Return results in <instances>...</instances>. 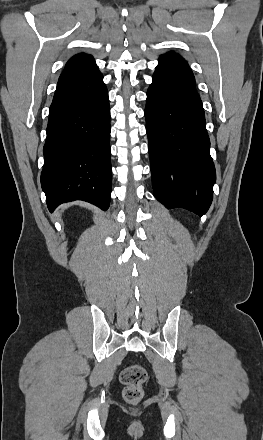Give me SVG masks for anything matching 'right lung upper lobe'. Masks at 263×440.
I'll return each mask as SVG.
<instances>
[{
	"label": "right lung upper lobe",
	"mask_w": 263,
	"mask_h": 440,
	"mask_svg": "<svg viewBox=\"0 0 263 440\" xmlns=\"http://www.w3.org/2000/svg\"><path fill=\"white\" fill-rule=\"evenodd\" d=\"M97 70L98 67L91 55L84 53L77 54L67 62L64 71L59 77L57 86L71 82Z\"/></svg>",
	"instance_id": "cb5924a9"
}]
</instances>
